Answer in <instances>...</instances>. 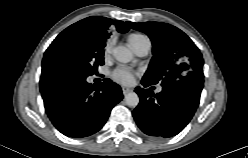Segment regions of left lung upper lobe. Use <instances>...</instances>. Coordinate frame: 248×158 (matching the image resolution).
Returning a JSON list of instances; mask_svg holds the SVG:
<instances>
[{
    "label": "left lung upper lobe",
    "mask_w": 248,
    "mask_h": 158,
    "mask_svg": "<svg viewBox=\"0 0 248 158\" xmlns=\"http://www.w3.org/2000/svg\"><path fill=\"white\" fill-rule=\"evenodd\" d=\"M127 23L152 40L154 56L142 80L162 86L184 79L203 81L202 54L184 32L161 22Z\"/></svg>",
    "instance_id": "obj_1"
}]
</instances>
